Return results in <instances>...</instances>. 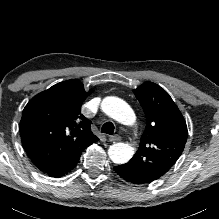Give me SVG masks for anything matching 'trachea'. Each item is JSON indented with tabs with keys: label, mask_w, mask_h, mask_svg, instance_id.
Instances as JSON below:
<instances>
[{
	"label": "trachea",
	"mask_w": 219,
	"mask_h": 219,
	"mask_svg": "<svg viewBox=\"0 0 219 219\" xmlns=\"http://www.w3.org/2000/svg\"><path fill=\"white\" fill-rule=\"evenodd\" d=\"M114 124L112 122H106L102 128H101V132L112 135L114 132Z\"/></svg>",
	"instance_id": "trachea-1"
}]
</instances>
